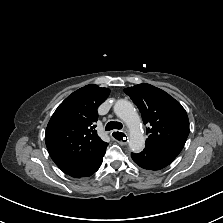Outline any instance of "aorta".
<instances>
[{"label":"aorta","mask_w":223,"mask_h":223,"mask_svg":"<svg viewBox=\"0 0 223 223\" xmlns=\"http://www.w3.org/2000/svg\"><path fill=\"white\" fill-rule=\"evenodd\" d=\"M114 112L129 128L130 150L134 153H140L145 146V137L140 128L141 120L135 107L131 102L120 99L114 105Z\"/></svg>","instance_id":"1"}]
</instances>
